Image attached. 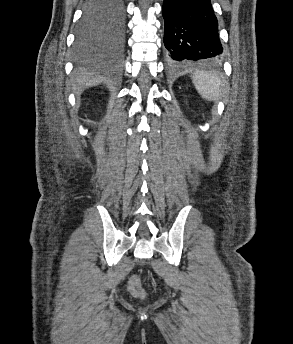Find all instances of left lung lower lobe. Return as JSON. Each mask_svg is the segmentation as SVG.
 <instances>
[{
    "label": "left lung lower lobe",
    "instance_id": "0a47b994",
    "mask_svg": "<svg viewBox=\"0 0 293 344\" xmlns=\"http://www.w3.org/2000/svg\"><path fill=\"white\" fill-rule=\"evenodd\" d=\"M164 43L174 64L216 60L222 53L210 0H164Z\"/></svg>",
    "mask_w": 293,
    "mask_h": 344
}]
</instances>
